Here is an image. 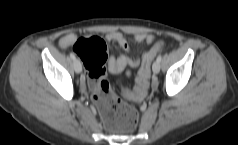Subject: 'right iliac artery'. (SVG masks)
Wrapping results in <instances>:
<instances>
[{
	"label": "right iliac artery",
	"instance_id": "obj_1",
	"mask_svg": "<svg viewBox=\"0 0 238 145\" xmlns=\"http://www.w3.org/2000/svg\"><path fill=\"white\" fill-rule=\"evenodd\" d=\"M70 57H71L73 60L76 59L74 53H72V52H70Z\"/></svg>",
	"mask_w": 238,
	"mask_h": 145
}]
</instances>
